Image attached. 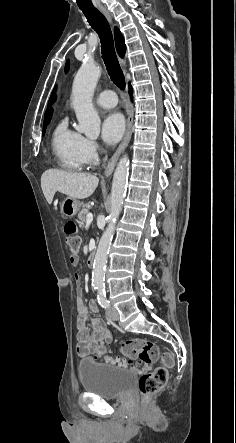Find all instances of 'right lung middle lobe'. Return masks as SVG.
<instances>
[{"label": "right lung middle lobe", "instance_id": "obj_1", "mask_svg": "<svg viewBox=\"0 0 236 443\" xmlns=\"http://www.w3.org/2000/svg\"><path fill=\"white\" fill-rule=\"evenodd\" d=\"M49 121H50V120H48V121H45V122H44V127H43V134L45 133V130H46V126H47V124L49 123Z\"/></svg>", "mask_w": 236, "mask_h": 443}]
</instances>
